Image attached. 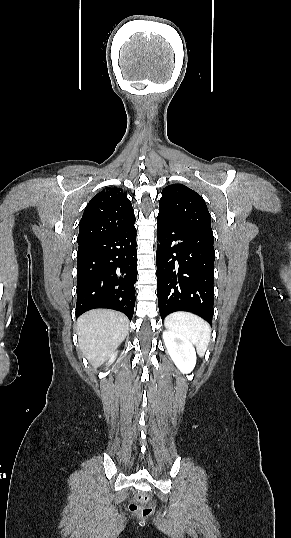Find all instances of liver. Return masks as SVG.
Returning a JSON list of instances; mask_svg holds the SVG:
<instances>
[{
  "label": "liver",
  "mask_w": 291,
  "mask_h": 538,
  "mask_svg": "<svg viewBox=\"0 0 291 538\" xmlns=\"http://www.w3.org/2000/svg\"><path fill=\"white\" fill-rule=\"evenodd\" d=\"M76 328L80 351L97 367L124 341L129 320L120 312L96 309L80 316Z\"/></svg>",
  "instance_id": "6515ba94"
}]
</instances>
